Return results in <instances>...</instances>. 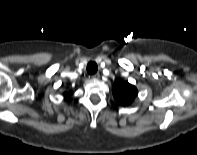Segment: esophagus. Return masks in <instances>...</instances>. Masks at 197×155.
Masks as SVG:
<instances>
[{
  "label": "esophagus",
  "mask_w": 197,
  "mask_h": 155,
  "mask_svg": "<svg viewBox=\"0 0 197 155\" xmlns=\"http://www.w3.org/2000/svg\"><path fill=\"white\" fill-rule=\"evenodd\" d=\"M93 79H99L100 78V74L99 73H95L92 75Z\"/></svg>",
  "instance_id": "34e87169"
}]
</instances>
